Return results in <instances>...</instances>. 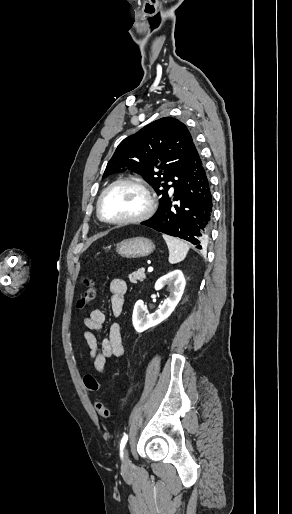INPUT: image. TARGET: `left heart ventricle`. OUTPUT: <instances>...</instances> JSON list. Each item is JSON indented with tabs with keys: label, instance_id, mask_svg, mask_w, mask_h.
Returning <instances> with one entry per match:
<instances>
[{
	"label": "left heart ventricle",
	"instance_id": "left-heart-ventricle-1",
	"mask_svg": "<svg viewBox=\"0 0 292 514\" xmlns=\"http://www.w3.org/2000/svg\"><path fill=\"white\" fill-rule=\"evenodd\" d=\"M145 204V196L138 188L122 185L113 188L105 195L101 209L106 219L117 220L140 213Z\"/></svg>",
	"mask_w": 292,
	"mask_h": 514
}]
</instances>
